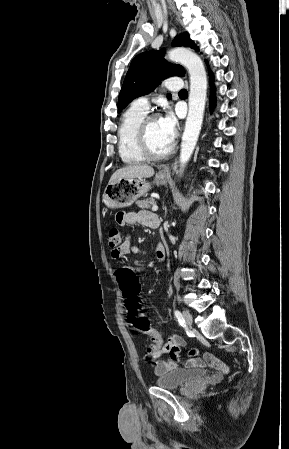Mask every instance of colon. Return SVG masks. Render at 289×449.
<instances>
[{"instance_id": "5ec220e1", "label": "colon", "mask_w": 289, "mask_h": 449, "mask_svg": "<svg viewBox=\"0 0 289 449\" xmlns=\"http://www.w3.org/2000/svg\"><path fill=\"white\" fill-rule=\"evenodd\" d=\"M107 240L110 248L117 249L122 245L123 235L118 228L113 227L108 231ZM115 275L116 280H119V289L122 296L121 303L122 305H126L127 308L129 326L135 332L150 337L152 344L147 349L146 355L148 359L154 361L158 353L165 352L166 350L163 348L164 342L160 332L151 327L142 312L139 296L140 284L137 275L133 272L132 268H116Z\"/></svg>"}]
</instances>
